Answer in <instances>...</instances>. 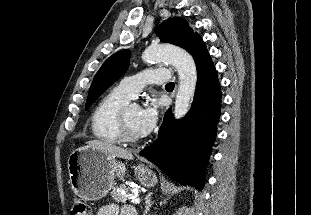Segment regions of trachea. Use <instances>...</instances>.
<instances>
[{"label": "trachea", "mask_w": 311, "mask_h": 215, "mask_svg": "<svg viewBox=\"0 0 311 215\" xmlns=\"http://www.w3.org/2000/svg\"><path fill=\"white\" fill-rule=\"evenodd\" d=\"M166 87H174V83L173 82H169L166 84Z\"/></svg>", "instance_id": "1"}]
</instances>
